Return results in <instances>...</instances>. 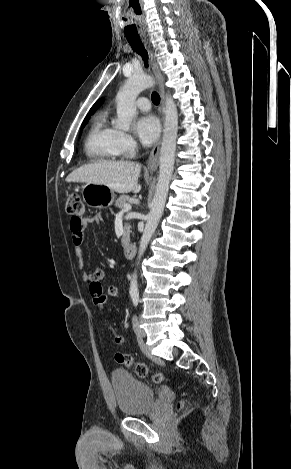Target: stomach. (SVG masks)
<instances>
[{"label":"stomach","mask_w":291,"mask_h":469,"mask_svg":"<svg viewBox=\"0 0 291 469\" xmlns=\"http://www.w3.org/2000/svg\"><path fill=\"white\" fill-rule=\"evenodd\" d=\"M82 196L84 202L93 208H107L115 199L114 190L106 185L88 183L83 186Z\"/></svg>","instance_id":"obj_1"}]
</instances>
